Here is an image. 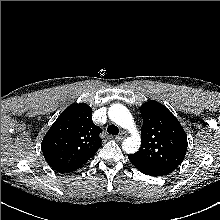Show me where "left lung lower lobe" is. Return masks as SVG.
<instances>
[{
  "instance_id": "obj_1",
  "label": "left lung lower lobe",
  "mask_w": 220,
  "mask_h": 220,
  "mask_svg": "<svg viewBox=\"0 0 220 220\" xmlns=\"http://www.w3.org/2000/svg\"><path fill=\"white\" fill-rule=\"evenodd\" d=\"M129 160L131 161V163L142 173L146 174V175H150V176H162L163 174L152 168L151 166L147 165L146 163H144L143 161L137 160L135 159L133 156L128 155Z\"/></svg>"
}]
</instances>
